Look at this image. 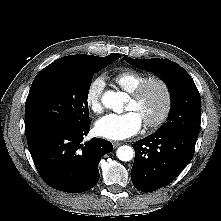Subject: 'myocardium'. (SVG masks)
I'll list each match as a JSON object with an SVG mask.
<instances>
[{
  "label": "myocardium",
  "instance_id": "f54148a6",
  "mask_svg": "<svg viewBox=\"0 0 221 221\" xmlns=\"http://www.w3.org/2000/svg\"><path fill=\"white\" fill-rule=\"evenodd\" d=\"M153 85L159 86L164 94V106L161 113L153 120L143 122L147 129H156L166 122L173 107V93L167 80L160 77H151L141 83L133 92L130 93L131 99L139 101L145 92Z\"/></svg>",
  "mask_w": 221,
  "mask_h": 221
}]
</instances>
